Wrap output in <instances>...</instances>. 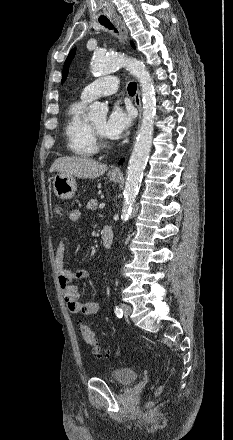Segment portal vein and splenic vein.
Here are the masks:
<instances>
[{
    "label": "portal vein and splenic vein",
    "mask_w": 233,
    "mask_h": 440,
    "mask_svg": "<svg viewBox=\"0 0 233 440\" xmlns=\"http://www.w3.org/2000/svg\"><path fill=\"white\" fill-rule=\"evenodd\" d=\"M105 207V204L104 203H101L100 205H99V208L100 209H103Z\"/></svg>",
    "instance_id": "1"
}]
</instances>
